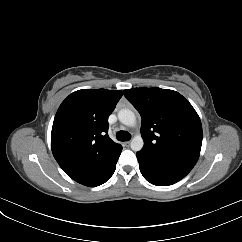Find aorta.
I'll list each match as a JSON object with an SVG mask.
<instances>
[{
  "label": "aorta",
  "instance_id": "obj_1",
  "mask_svg": "<svg viewBox=\"0 0 242 242\" xmlns=\"http://www.w3.org/2000/svg\"><path fill=\"white\" fill-rule=\"evenodd\" d=\"M118 119L121 123L127 126L136 125V116L134 112L130 109H122L118 113ZM131 149L133 151H140L144 146V141L140 134L134 136L130 143Z\"/></svg>",
  "mask_w": 242,
  "mask_h": 242
}]
</instances>
